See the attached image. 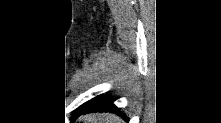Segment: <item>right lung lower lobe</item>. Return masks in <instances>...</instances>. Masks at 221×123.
Here are the masks:
<instances>
[{
	"mask_svg": "<svg viewBox=\"0 0 221 123\" xmlns=\"http://www.w3.org/2000/svg\"><path fill=\"white\" fill-rule=\"evenodd\" d=\"M113 110H119L115 105H113L111 102H103V101H95L91 102L89 105H87L80 114H86L88 112H103V111H113ZM78 114V115H80ZM78 115L74 116L77 117ZM123 117V115H122Z\"/></svg>",
	"mask_w": 221,
	"mask_h": 123,
	"instance_id": "1",
	"label": "right lung lower lobe"
}]
</instances>
